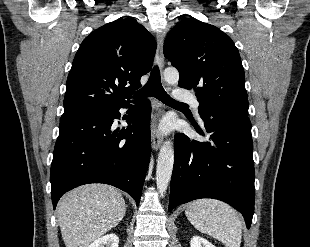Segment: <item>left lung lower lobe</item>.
<instances>
[{"label": "left lung lower lobe", "mask_w": 310, "mask_h": 247, "mask_svg": "<svg viewBox=\"0 0 310 247\" xmlns=\"http://www.w3.org/2000/svg\"><path fill=\"white\" fill-rule=\"evenodd\" d=\"M202 120L209 141L175 135L169 211L195 199L214 198L241 212L250 228L255 200L251 122L228 113ZM195 129L204 136L199 127Z\"/></svg>", "instance_id": "left-lung-lower-lobe-1"}]
</instances>
